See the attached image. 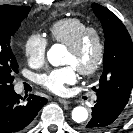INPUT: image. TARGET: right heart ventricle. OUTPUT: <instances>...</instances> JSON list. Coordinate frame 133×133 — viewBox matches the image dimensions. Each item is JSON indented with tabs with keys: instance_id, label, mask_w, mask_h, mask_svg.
Instances as JSON below:
<instances>
[{
	"instance_id": "right-heart-ventricle-1",
	"label": "right heart ventricle",
	"mask_w": 133,
	"mask_h": 133,
	"mask_svg": "<svg viewBox=\"0 0 133 133\" xmlns=\"http://www.w3.org/2000/svg\"><path fill=\"white\" fill-rule=\"evenodd\" d=\"M86 27H88L87 23L80 18L60 19L51 25L50 37L53 41L68 46Z\"/></svg>"
}]
</instances>
